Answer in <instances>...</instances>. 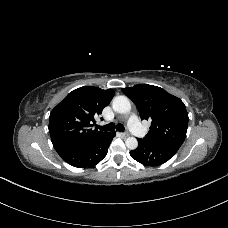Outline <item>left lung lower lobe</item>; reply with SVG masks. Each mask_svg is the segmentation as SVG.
<instances>
[{"mask_svg": "<svg viewBox=\"0 0 228 228\" xmlns=\"http://www.w3.org/2000/svg\"><path fill=\"white\" fill-rule=\"evenodd\" d=\"M138 142V147L130 151V155L139 163L147 166H157L167 162L180 148L174 144L149 142L144 139H138Z\"/></svg>", "mask_w": 228, "mask_h": 228, "instance_id": "obj_1", "label": "left lung lower lobe"}]
</instances>
